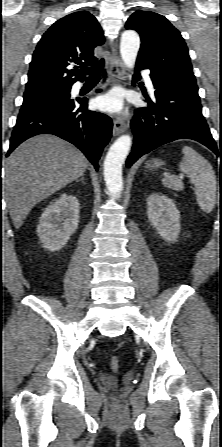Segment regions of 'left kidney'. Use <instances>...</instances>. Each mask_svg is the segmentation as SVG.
I'll return each instance as SVG.
<instances>
[{
	"label": "left kidney",
	"mask_w": 222,
	"mask_h": 447,
	"mask_svg": "<svg viewBox=\"0 0 222 447\" xmlns=\"http://www.w3.org/2000/svg\"><path fill=\"white\" fill-rule=\"evenodd\" d=\"M147 215L158 234L168 242H175L180 233V212L172 199L152 193L147 199Z\"/></svg>",
	"instance_id": "obj_1"
}]
</instances>
